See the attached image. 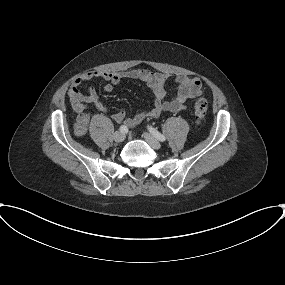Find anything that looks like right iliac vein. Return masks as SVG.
Wrapping results in <instances>:
<instances>
[{"mask_svg": "<svg viewBox=\"0 0 285 285\" xmlns=\"http://www.w3.org/2000/svg\"><path fill=\"white\" fill-rule=\"evenodd\" d=\"M113 139H114L115 142L120 143V142L124 141V139H125V134H124L123 132H121V131H116V132L113 134Z\"/></svg>", "mask_w": 285, "mask_h": 285, "instance_id": "right-iliac-vein-1", "label": "right iliac vein"}]
</instances>
